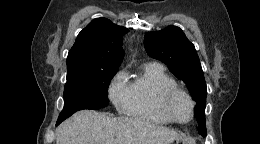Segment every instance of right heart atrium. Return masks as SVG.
Wrapping results in <instances>:
<instances>
[{"instance_id":"1","label":"right heart atrium","mask_w":260,"mask_h":144,"mask_svg":"<svg viewBox=\"0 0 260 144\" xmlns=\"http://www.w3.org/2000/svg\"><path fill=\"white\" fill-rule=\"evenodd\" d=\"M108 95L117 109H124L128 98V84L125 81L123 71L117 73L112 79L108 88Z\"/></svg>"}]
</instances>
